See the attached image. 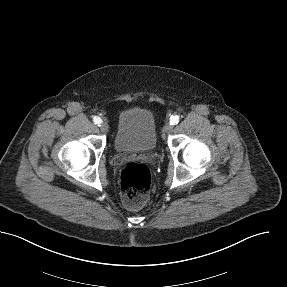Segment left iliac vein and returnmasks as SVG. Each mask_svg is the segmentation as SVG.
<instances>
[{"mask_svg":"<svg viewBox=\"0 0 287 287\" xmlns=\"http://www.w3.org/2000/svg\"><path fill=\"white\" fill-rule=\"evenodd\" d=\"M173 129V126L171 124H166L164 127V132L169 133Z\"/></svg>","mask_w":287,"mask_h":287,"instance_id":"1","label":"left iliac vein"}]
</instances>
